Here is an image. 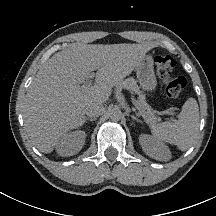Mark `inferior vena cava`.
Instances as JSON below:
<instances>
[{
  "instance_id": "1",
  "label": "inferior vena cava",
  "mask_w": 216,
  "mask_h": 216,
  "mask_svg": "<svg viewBox=\"0 0 216 216\" xmlns=\"http://www.w3.org/2000/svg\"><path fill=\"white\" fill-rule=\"evenodd\" d=\"M104 111V106L102 103L99 102H92L86 107V114L89 117H98L100 116Z\"/></svg>"
}]
</instances>
